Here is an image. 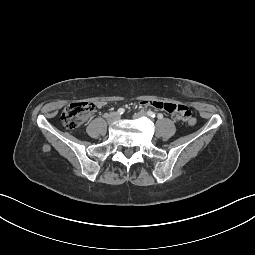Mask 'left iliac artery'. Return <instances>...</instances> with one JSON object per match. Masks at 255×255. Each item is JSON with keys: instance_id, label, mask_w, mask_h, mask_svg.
<instances>
[{"instance_id": "left-iliac-artery-1", "label": "left iliac artery", "mask_w": 255, "mask_h": 255, "mask_svg": "<svg viewBox=\"0 0 255 255\" xmlns=\"http://www.w3.org/2000/svg\"><path fill=\"white\" fill-rule=\"evenodd\" d=\"M147 114H148L150 117H153V118L156 116L155 113L152 112V111H148Z\"/></svg>"}]
</instances>
